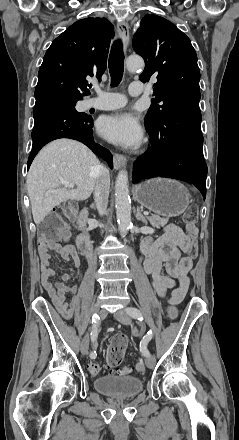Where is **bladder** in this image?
I'll use <instances>...</instances> for the list:
<instances>
[{"label":"bladder","mask_w":239,"mask_h":440,"mask_svg":"<svg viewBox=\"0 0 239 440\" xmlns=\"http://www.w3.org/2000/svg\"><path fill=\"white\" fill-rule=\"evenodd\" d=\"M96 391L117 399L132 398L143 389L140 379L133 376H104L95 379Z\"/></svg>","instance_id":"obj_1"}]
</instances>
